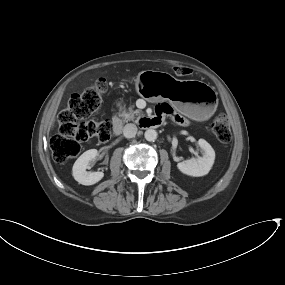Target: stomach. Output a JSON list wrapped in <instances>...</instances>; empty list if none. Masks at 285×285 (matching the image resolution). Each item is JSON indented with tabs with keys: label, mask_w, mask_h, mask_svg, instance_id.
<instances>
[{
	"label": "stomach",
	"mask_w": 285,
	"mask_h": 285,
	"mask_svg": "<svg viewBox=\"0 0 285 285\" xmlns=\"http://www.w3.org/2000/svg\"><path fill=\"white\" fill-rule=\"evenodd\" d=\"M135 88L145 100H168L180 113L197 121L208 119L217 108L216 93L209 85L198 80H178L166 72H140Z\"/></svg>",
	"instance_id": "obj_1"
}]
</instances>
